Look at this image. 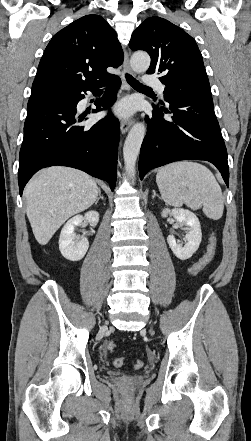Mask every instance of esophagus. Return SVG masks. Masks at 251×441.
<instances>
[{
	"label": "esophagus",
	"mask_w": 251,
	"mask_h": 441,
	"mask_svg": "<svg viewBox=\"0 0 251 441\" xmlns=\"http://www.w3.org/2000/svg\"><path fill=\"white\" fill-rule=\"evenodd\" d=\"M123 68H124L125 72L133 74V71H132V69L130 67L129 53L128 52H125ZM132 124H133V120L132 119H130V120H121L120 128H121L122 134H125L130 129Z\"/></svg>",
	"instance_id": "esophagus-1"
}]
</instances>
